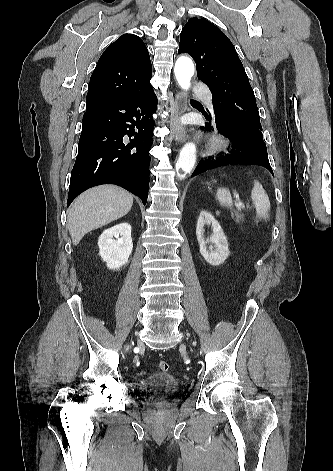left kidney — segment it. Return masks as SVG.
Instances as JSON below:
<instances>
[{
  "label": "left kidney",
  "mask_w": 333,
  "mask_h": 471,
  "mask_svg": "<svg viewBox=\"0 0 333 471\" xmlns=\"http://www.w3.org/2000/svg\"><path fill=\"white\" fill-rule=\"evenodd\" d=\"M205 224L212 226L213 236L209 240H205L204 238ZM196 235L200 245V254L203 258L214 266L223 264L230 253L228 241L219 222L205 210L200 212L197 221ZM207 243H210L209 247Z\"/></svg>",
  "instance_id": "obj_1"
}]
</instances>
